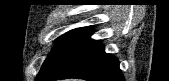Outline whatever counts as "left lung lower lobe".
I'll use <instances>...</instances> for the list:
<instances>
[{
	"mask_svg": "<svg viewBox=\"0 0 169 81\" xmlns=\"http://www.w3.org/2000/svg\"><path fill=\"white\" fill-rule=\"evenodd\" d=\"M92 28H84L68 44L53 67L36 81L78 78L87 81H124L119 61L105 53L100 41L90 39Z\"/></svg>",
	"mask_w": 169,
	"mask_h": 81,
	"instance_id": "1",
	"label": "left lung lower lobe"
}]
</instances>
